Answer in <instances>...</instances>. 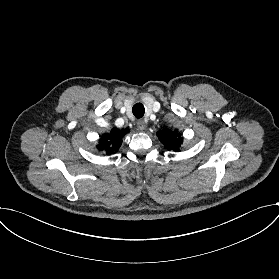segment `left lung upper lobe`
<instances>
[{"instance_id":"obj_1","label":"left lung upper lobe","mask_w":279,"mask_h":279,"mask_svg":"<svg viewBox=\"0 0 279 279\" xmlns=\"http://www.w3.org/2000/svg\"><path fill=\"white\" fill-rule=\"evenodd\" d=\"M157 135L159 137V140L165 145L168 150L179 151V148L183 143V138L177 130L172 131L169 129H164L157 132Z\"/></svg>"}]
</instances>
